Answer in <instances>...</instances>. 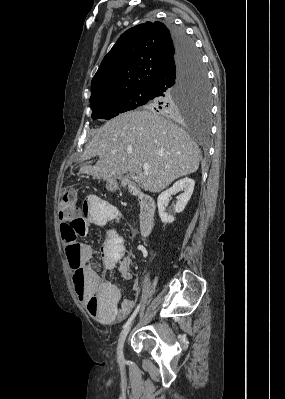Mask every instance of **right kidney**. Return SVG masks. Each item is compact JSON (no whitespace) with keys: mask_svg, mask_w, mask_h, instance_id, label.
<instances>
[{"mask_svg":"<svg viewBox=\"0 0 285 399\" xmlns=\"http://www.w3.org/2000/svg\"><path fill=\"white\" fill-rule=\"evenodd\" d=\"M194 185L195 182L193 179L185 177L174 183L171 188L159 195L157 199V206L160 219L163 223H172L174 221V217L172 215H167L165 213V207L169 201V198H171V196L176 194L178 191H183V193L178 197V201L175 205V212H182L192 196Z\"/></svg>","mask_w":285,"mask_h":399,"instance_id":"obj_1","label":"right kidney"}]
</instances>
